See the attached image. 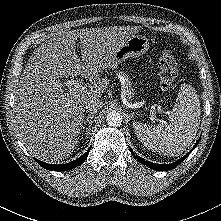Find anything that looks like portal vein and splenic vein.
<instances>
[{"mask_svg": "<svg viewBox=\"0 0 221 221\" xmlns=\"http://www.w3.org/2000/svg\"><path fill=\"white\" fill-rule=\"evenodd\" d=\"M66 86L69 89H74L80 92H84L86 91V87L83 85V81L82 80H69L66 82Z\"/></svg>", "mask_w": 221, "mask_h": 221, "instance_id": "18ae733b", "label": "portal vein and splenic vein"}]
</instances>
